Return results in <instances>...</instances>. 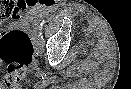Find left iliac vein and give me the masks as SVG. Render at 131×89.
I'll use <instances>...</instances> for the list:
<instances>
[{
    "mask_svg": "<svg viewBox=\"0 0 131 89\" xmlns=\"http://www.w3.org/2000/svg\"><path fill=\"white\" fill-rule=\"evenodd\" d=\"M38 48H40V49H41V46L39 45V46H38Z\"/></svg>",
    "mask_w": 131,
    "mask_h": 89,
    "instance_id": "obj_1",
    "label": "left iliac vein"
}]
</instances>
